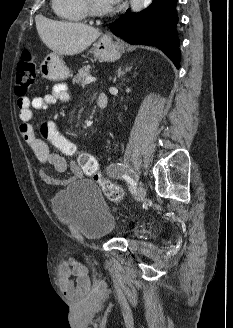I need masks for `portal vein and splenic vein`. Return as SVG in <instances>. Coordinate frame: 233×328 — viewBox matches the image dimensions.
<instances>
[{
    "mask_svg": "<svg viewBox=\"0 0 233 328\" xmlns=\"http://www.w3.org/2000/svg\"><path fill=\"white\" fill-rule=\"evenodd\" d=\"M94 81H96V78H94V77H87L86 78V84H90L91 82H94Z\"/></svg>",
    "mask_w": 233,
    "mask_h": 328,
    "instance_id": "1",
    "label": "portal vein and splenic vein"
}]
</instances>
